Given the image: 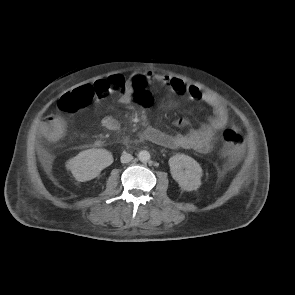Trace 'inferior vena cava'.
<instances>
[{"label":"inferior vena cava","instance_id":"1","mask_svg":"<svg viewBox=\"0 0 295 295\" xmlns=\"http://www.w3.org/2000/svg\"><path fill=\"white\" fill-rule=\"evenodd\" d=\"M120 159L122 163H128L133 159V156L129 153H124Z\"/></svg>","mask_w":295,"mask_h":295}]
</instances>
